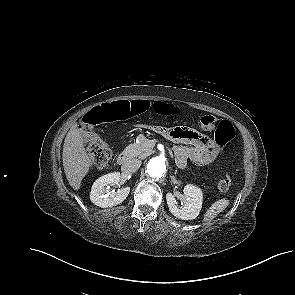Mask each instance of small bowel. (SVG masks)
<instances>
[{
	"mask_svg": "<svg viewBox=\"0 0 295 295\" xmlns=\"http://www.w3.org/2000/svg\"><path fill=\"white\" fill-rule=\"evenodd\" d=\"M154 128L176 143L174 158L178 167H186L189 161L198 165H207L214 160L215 154L212 152L211 139L199 132L186 127Z\"/></svg>",
	"mask_w": 295,
	"mask_h": 295,
	"instance_id": "c3829d8e",
	"label": "small bowel"
}]
</instances>
